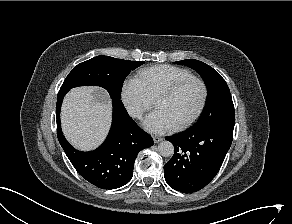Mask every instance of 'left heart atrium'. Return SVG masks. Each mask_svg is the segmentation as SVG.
<instances>
[{
  "label": "left heart atrium",
  "mask_w": 292,
  "mask_h": 224,
  "mask_svg": "<svg viewBox=\"0 0 292 224\" xmlns=\"http://www.w3.org/2000/svg\"><path fill=\"white\" fill-rule=\"evenodd\" d=\"M143 127L151 133H164L174 128L173 122L161 109L154 110L143 122Z\"/></svg>",
  "instance_id": "39dd6f15"
}]
</instances>
